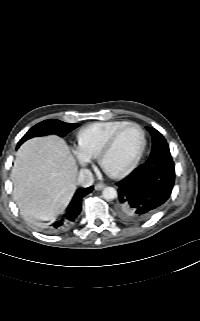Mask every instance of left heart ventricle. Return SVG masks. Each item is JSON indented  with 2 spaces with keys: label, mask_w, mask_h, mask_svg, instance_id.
I'll return each mask as SVG.
<instances>
[{
  "label": "left heart ventricle",
  "mask_w": 200,
  "mask_h": 321,
  "mask_svg": "<svg viewBox=\"0 0 200 321\" xmlns=\"http://www.w3.org/2000/svg\"><path fill=\"white\" fill-rule=\"evenodd\" d=\"M142 141L141 132L129 127L119 136L112 150L104 158L107 171L117 173L124 170L137 154Z\"/></svg>",
  "instance_id": "obj_1"
}]
</instances>
